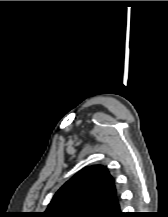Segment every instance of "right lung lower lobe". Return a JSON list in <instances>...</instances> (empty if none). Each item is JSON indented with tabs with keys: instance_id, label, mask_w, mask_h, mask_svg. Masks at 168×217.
Wrapping results in <instances>:
<instances>
[{
	"instance_id": "obj_1",
	"label": "right lung lower lobe",
	"mask_w": 168,
	"mask_h": 217,
	"mask_svg": "<svg viewBox=\"0 0 168 217\" xmlns=\"http://www.w3.org/2000/svg\"><path fill=\"white\" fill-rule=\"evenodd\" d=\"M110 217H128V215L126 213L121 212L119 209L117 212L112 214Z\"/></svg>"
}]
</instances>
